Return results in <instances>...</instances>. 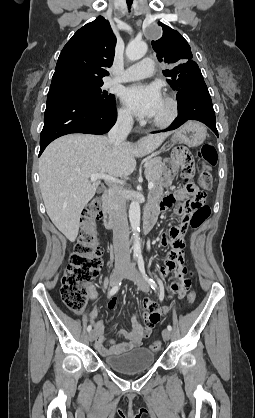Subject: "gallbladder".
Wrapping results in <instances>:
<instances>
[{"label":"gallbladder","mask_w":255,"mask_h":418,"mask_svg":"<svg viewBox=\"0 0 255 418\" xmlns=\"http://www.w3.org/2000/svg\"><path fill=\"white\" fill-rule=\"evenodd\" d=\"M100 191H101V188L98 189V192H100Z\"/></svg>","instance_id":"gallbladder-1"}]
</instances>
